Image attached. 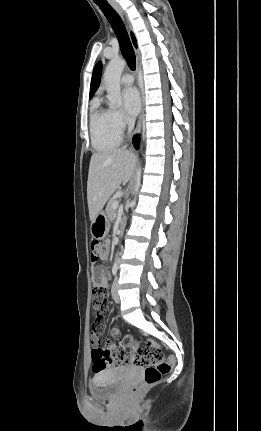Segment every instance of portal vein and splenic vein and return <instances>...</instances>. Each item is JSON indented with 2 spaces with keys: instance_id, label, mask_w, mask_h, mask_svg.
I'll use <instances>...</instances> for the list:
<instances>
[{
  "instance_id": "1",
  "label": "portal vein and splenic vein",
  "mask_w": 261,
  "mask_h": 431,
  "mask_svg": "<svg viewBox=\"0 0 261 431\" xmlns=\"http://www.w3.org/2000/svg\"><path fill=\"white\" fill-rule=\"evenodd\" d=\"M113 208H114V209H117V208H118V202H115V203L113 204Z\"/></svg>"
}]
</instances>
